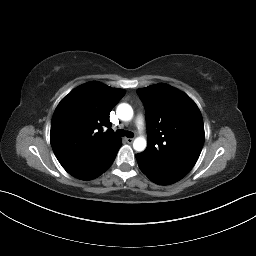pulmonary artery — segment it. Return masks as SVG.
<instances>
[{"instance_id":"e3ab8cb5","label":"pulmonary artery","mask_w":256,"mask_h":256,"mask_svg":"<svg viewBox=\"0 0 256 256\" xmlns=\"http://www.w3.org/2000/svg\"><path fill=\"white\" fill-rule=\"evenodd\" d=\"M136 125H137V127H138L140 130L143 128V126H144V120H143L142 117L137 116V118H136Z\"/></svg>"}]
</instances>
